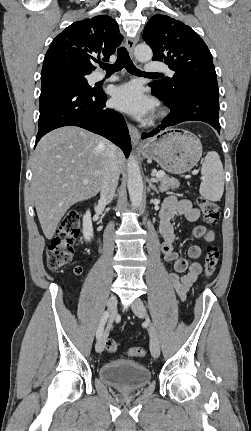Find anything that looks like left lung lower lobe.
Returning a JSON list of instances; mask_svg holds the SVG:
<instances>
[{
    "mask_svg": "<svg viewBox=\"0 0 251 431\" xmlns=\"http://www.w3.org/2000/svg\"><path fill=\"white\" fill-rule=\"evenodd\" d=\"M152 94L163 100L171 110L170 115L160 125V129L163 130L181 122L196 120L206 122L220 132L218 88L209 86L189 88L172 102L163 99L153 88ZM158 132L159 129L143 133L142 138L152 137Z\"/></svg>",
    "mask_w": 251,
    "mask_h": 431,
    "instance_id": "1",
    "label": "left lung lower lobe"
}]
</instances>
